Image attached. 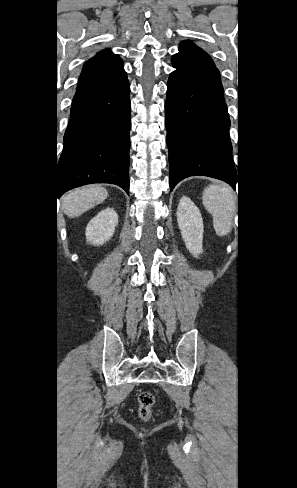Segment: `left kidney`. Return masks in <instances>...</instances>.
<instances>
[{
	"instance_id": "5707ae66",
	"label": "left kidney",
	"mask_w": 297,
	"mask_h": 488,
	"mask_svg": "<svg viewBox=\"0 0 297 488\" xmlns=\"http://www.w3.org/2000/svg\"><path fill=\"white\" fill-rule=\"evenodd\" d=\"M177 222L186 248L197 257L203 251V220L197 206L186 196L180 199Z\"/></svg>"
}]
</instances>
